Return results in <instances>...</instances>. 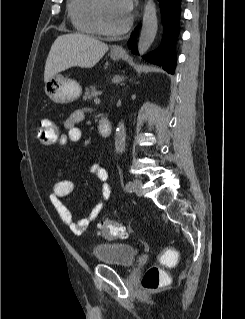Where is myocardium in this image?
I'll return each instance as SVG.
<instances>
[{
  "label": "myocardium",
  "mask_w": 245,
  "mask_h": 319,
  "mask_svg": "<svg viewBox=\"0 0 245 319\" xmlns=\"http://www.w3.org/2000/svg\"><path fill=\"white\" fill-rule=\"evenodd\" d=\"M96 23L99 32L106 36H118L126 33L132 25V17H128L127 21L119 28H110L104 19L103 0H97L96 8Z\"/></svg>",
  "instance_id": "f54148a6"
}]
</instances>
